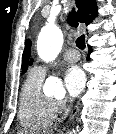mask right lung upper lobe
Returning a JSON list of instances; mask_svg holds the SVG:
<instances>
[{
    "label": "right lung upper lobe",
    "mask_w": 116,
    "mask_h": 134,
    "mask_svg": "<svg viewBox=\"0 0 116 134\" xmlns=\"http://www.w3.org/2000/svg\"><path fill=\"white\" fill-rule=\"evenodd\" d=\"M76 8L77 13L75 14V10H73V13H71L68 20L69 23L75 27L78 25V22L85 23L86 25H88L92 21L97 12V6L95 0H76ZM30 50H31V41L26 40L22 59L23 72L27 70Z\"/></svg>",
    "instance_id": "1"
}]
</instances>
